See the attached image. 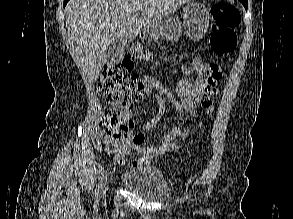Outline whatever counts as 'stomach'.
Here are the masks:
<instances>
[{"mask_svg": "<svg viewBox=\"0 0 293 219\" xmlns=\"http://www.w3.org/2000/svg\"><path fill=\"white\" fill-rule=\"evenodd\" d=\"M209 10L199 2L189 3L183 10V27L193 41L201 40L209 27ZM154 40L177 41L181 35V24L177 19H163L146 28Z\"/></svg>", "mask_w": 293, "mask_h": 219, "instance_id": "obj_1", "label": "stomach"}]
</instances>
